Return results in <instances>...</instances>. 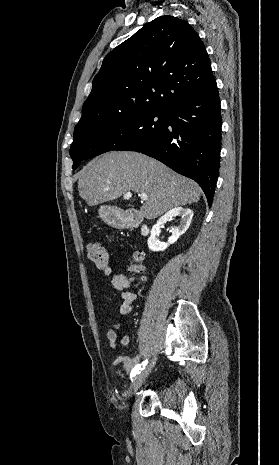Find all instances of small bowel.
<instances>
[{"instance_id":"1","label":"small bowel","mask_w":279,"mask_h":465,"mask_svg":"<svg viewBox=\"0 0 279 465\" xmlns=\"http://www.w3.org/2000/svg\"><path fill=\"white\" fill-rule=\"evenodd\" d=\"M111 285L119 292L120 297L122 299V303L119 307V313L121 316L128 315L131 310L133 309L135 300L137 298V294L131 288V281L130 279L122 274L117 273L114 274L111 279ZM120 328L119 324L113 325L107 331V339L109 341V345L112 349L118 351V355L112 362V366L116 369V373L119 377L125 378L127 375L131 374L132 370L139 365L140 362V355H135L133 357H129L123 354V350L118 349L117 345V330ZM120 343L123 349H126L129 346L130 338L127 334H123L120 339ZM122 364V369L117 368L118 365Z\"/></svg>"}]
</instances>
